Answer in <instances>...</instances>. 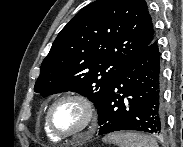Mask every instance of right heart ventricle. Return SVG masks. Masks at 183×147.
Segmentation results:
<instances>
[{
	"label": "right heart ventricle",
	"instance_id": "right-heart-ventricle-1",
	"mask_svg": "<svg viewBox=\"0 0 183 147\" xmlns=\"http://www.w3.org/2000/svg\"><path fill=\"white\" fill-rule=\"evenodd\" d=\"M44 131H45L47 137H48L50 140H52V141H58V140H59L57 137H55V136L48 130V128H47V126H46V123H44Z\"/></svg>",
	"mask_w": 183,
	"mask_h": 147
}]
</instances>
